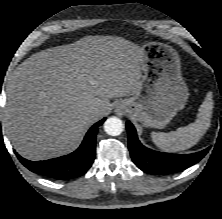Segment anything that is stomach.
Segmentation results:
<instances>
[{
    "mask_svg": "<svg viewBox=\"0 0 222 219\" xmlns=\"http://www.w3.org/2000/svg\"><path fill=\"white\" fill-rule=\"evenodd\" d=\"M143 72L137 92L117 104L145 127L162 128L188 100L178 53L169 45L149 42L141 47Z\"/></svg>",
    "mask_w": 222,
    "mask_h": 219,
    "instance_id": "obj_1",
    "label": "stomach"
}]
</instances>
